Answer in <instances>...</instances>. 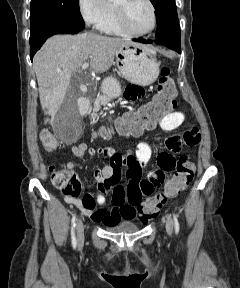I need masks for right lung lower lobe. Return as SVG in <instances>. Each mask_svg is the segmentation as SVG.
<instances>
[{"instance_id":"98d812e1","label":"right lung lower lobe","mask_w":240,"mask_h":288,"mask_svg":"<svg viewBox=\"0 0 240 288\" xmlns=\"http://www.w3.org/2000/svg\"><path fill=\"white\" fill-rule=\"evenodd\" d=\"M85 25H74L69 23H56L44 28L34 40L30 41V58L40 49L42 44L52 35L55 34H75L83 30Z\"/></svg>"}]
</instances>
